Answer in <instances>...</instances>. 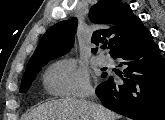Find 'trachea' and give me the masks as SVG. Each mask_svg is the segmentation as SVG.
<instances>
[{"instance_id":"obj_1","label":"trachea","mask_w":165,"mask_h":120,"mask_svg":"<svg viewBox=\"0 0 165 120\" xmlns=\"http://www.w3.org/2000/svg\"><path fill=\"white\" fill-rule=\"evenodd\" d=\"M106 47H107V46H106V45H104L102 48H103V49H106Z\"/></svg>"}]
</instances>
